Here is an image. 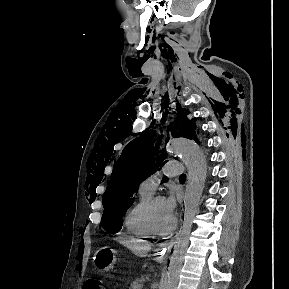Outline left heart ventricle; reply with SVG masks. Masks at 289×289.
I'll use <instances>...</instances> for the list:
<instances>
[{
	"label": "left heart ventricle",
	"instance_id": "b2bd125f",
	"mask_svg": "<svg viewBox=\"0 0 289 289\" xmlns=\"http://www.w3.org/2000/svg\"><path fill=\"white\" fill-rule=\"evenodd\" d=\"M152 217L154 224L158 229L164 230L171 225L173 219L167 213L164 199L155 202Z\"/></svg>",
	"mask_w": 289,
	"mask_h": 289
}]
</instances>
